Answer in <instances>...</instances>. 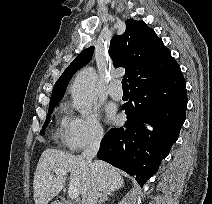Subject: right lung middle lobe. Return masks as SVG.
I'll return each mask as SVG.
<instances>
[{
  "label": "right lung middle lobe",
  "mask_w": 212,
  "mask_h": 204,
  "mask_svg": "<svg viewBox=\"0 0 212 204\" xmlns=\"http://www.w3.org/2000/svg\"><path fill=\"white\" fill-rule=\"evenodd\" d=\"M56 105H57V103H52V104L49 105V113H48V115H47L46 121H45V123H44V126H43V128H42L40 134H43V132H44L43 130L45 129V127L47 126V124H48V122H49V117H50V114H51V112H52V109H53Z\"/></svg>",
  "instance_id": "right-lung-middle-lobe-1"
}]
</instances>
